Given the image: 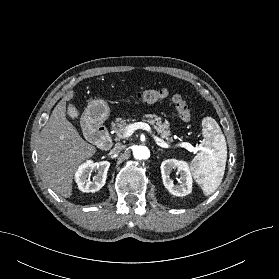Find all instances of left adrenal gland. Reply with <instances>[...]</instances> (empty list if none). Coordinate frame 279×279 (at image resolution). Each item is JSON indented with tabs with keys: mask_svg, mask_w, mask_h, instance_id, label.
I'll return each instance as SVG.
<instances>
[{
	"mask_svg": "<svg viewBox=\"0 0 279 279\" xmlns=\"http://www.w3.org/2000/svg\"><path fill=\"white\" fill-rule=\"evenodd\" d=\"M158 151H163L162 149H158Z\"/></svg>",
	"mask_w": 279,
	"mask_h": 279,
	"instance_id": "a2214340",
	"label": "left adrenal gland"
}]
</instances>
